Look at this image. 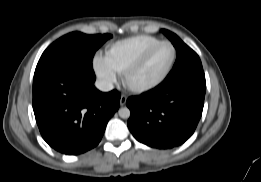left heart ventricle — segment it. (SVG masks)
<instances>
[{
	"label": "left heart ventricle",
	"instance_id": "b2bd125f",
	"mask_svg": "<svg viewBox=\"0 0 261 182\" xmlns=\"http://www.w3.org/2000/svg\"><path fill=\"white\" fill-rule=\"evenodd\" d=\"M173 57L170 46L159 47L146 63L132 76L131 83L136 86L149 84L157 80L167 69Z\"/></svg>",
	"mask_w": 261,
	"mask_h": 182
}]
</instances>
